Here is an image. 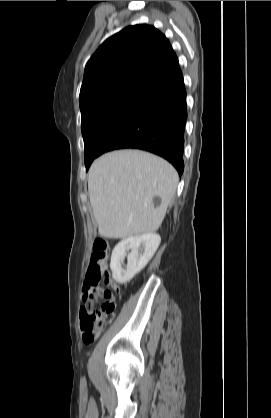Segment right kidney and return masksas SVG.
I'll use <instances>...</instances> for the list:
<instances>
[{"label":"right kidney","instance_id":"right-kidney-1","mask_svg":"<svg viewBox=\"0 0 271 418\" xmlns=\"http://www.w3.org/2000/svg\"><path fill=\"white\" fill-rule=\"evenodd\" d=\"M160 242L161 238L156 233L127 237L119 242L111 255L110 269L113 279L119 284L129 282L147 265ZM127 250H130L128 255ZM126 256L127 265L123 268L122 261Z\"/></svg>","mask_w":271,"mask_h":418}]
</instances>
